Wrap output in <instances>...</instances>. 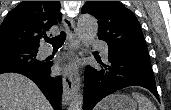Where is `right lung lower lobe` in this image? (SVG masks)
Masks as SVG:
<instances>
[{"label": "right lung lower lobe", "mask_w": 171, "mask_h": 110, "mask_svg": "<svg viewBox=\"0 0 171 110\" xmlns=\"http://www.w3.org/2000/svg\"><path fill=\"white\" fill-rule=\"evenodd\" d=\"M52 62H45L40 67H21L6 72H15L27 76L34 81L40 90L44 93L46 98L51 103L54 110H61V92H62V79L61 77H52L51 68Z\"/></svg>", "instance_id": "obj_1"}]
</instances>
